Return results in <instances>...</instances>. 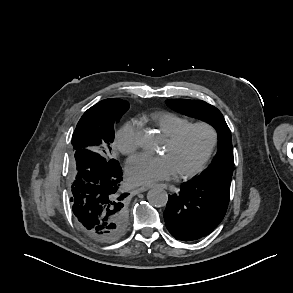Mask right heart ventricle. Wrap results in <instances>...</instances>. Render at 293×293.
I'll list each match as a JSON object with an SVG mask.
<instances>
[{"mask_svg": "<svg viewBox=\"0 0 293 293\" xmlns=\"http://www.w3.org/2000/svg\"><path fill=\"white\" fill-rule=\"evenodd\" d=\"M150 119L166 137L192 123L190 119L172 112H157L152 114Z\"/></svg>", "mask_w": 293, "mask_h": 293, "instance_id": "e07e8e85", "label": "right heart ventricle"}]
</instances>
